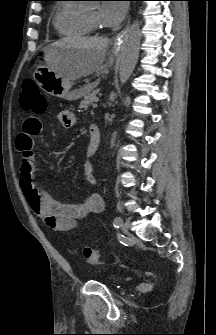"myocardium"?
I'll use <instances>...</instances> for the list:
<instances>
[{
  "mask_svg": "<svg viewBox=\"0 0 216 335\" xmlns=\"http://www.w3.org/2000/svg\"><path fill=\"white\" fill-rule=\"evenodd\" d=\"M85 18L87 23L91 26L92 29H99L100 25L98 23H95L94 21H92L86 14H85Z\"/></svg>",
  "mask_w": 216,
  "mask_h": 335,
  "instance_id": "f54148a6",
  "label": "myocardium"
}]
</instances>
